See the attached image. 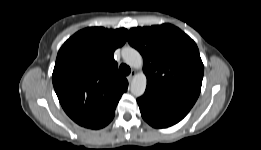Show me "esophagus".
Wrapping results in <instances>:
<instances>
[{
  "instance_id": "1",
  "label": "esophagus",
  "mask_w": 261,
  "mask_h": 150,
  "mask_svg": "<svg viewBox=\"0 0 261 150\" xmlns=\"http://www.w3.org/2000/svg\"><path fill=\"white\" fill-rule=\"evenodd\" d=\"M136 72L132 71L131 74L127 77L128 81L131 82L133 80V78L135 77Z\"/></svg>"
}]
</instances>
